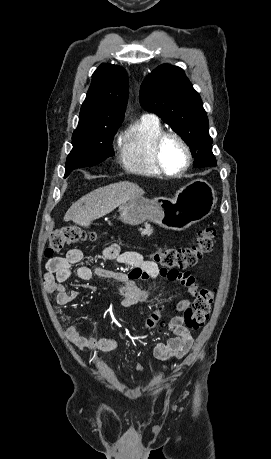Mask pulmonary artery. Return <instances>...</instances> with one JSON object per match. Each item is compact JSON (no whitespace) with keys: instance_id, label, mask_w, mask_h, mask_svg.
I'll return each instance as SVG.
<instances>
[{"instance_id":"pulmonary-artery-1","label":"pulmonary artery","mask_w":271,"mask_h":459,"mask_svg":"<svg viewBox=\"0 0 271 459\" xmlns=\"http://www.w3.org/2000/svg\"><path fill=\"white\" fill-rule=\"evenodd\" d=\"M145 116H152V115H145ZM152 117H155V116H152Z\"/></svg>"}]
</instances>
